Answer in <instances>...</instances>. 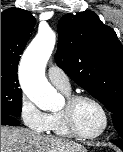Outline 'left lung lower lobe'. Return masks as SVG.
I'll list each match as a JSON object with an SVG mask.
<instances>
[{
  "label": "left lung lower lobe",
  "instance_id": "obj_1",
  "mask_svg": "<svg viewBox=\"0 0 123 152\" xmlns=\"http://www.w3.org/2000/svg\"><path fill=\"white\" fill-rule=\"evenodd\" d=\"M112 142L115 143L121 150H123V141L117 140Z\"/></svg>",
  "mask_w": 123,
  "mask_h": 152
}]
</instances>
